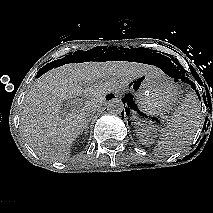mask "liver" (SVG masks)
Returning a JSON list of instances; mask_svg holds the SVG:
<instances>
[{
	"mask_svg": "<svg viewBox=\"0 0 213 213\" xmlns=\"http://www.w3.org/2000/svg\"><path fill=\"white\" fill-rule=\"evenodd\" d=\"M157 72L151 65L129 61L69 63L53 68L41 75L26 94L20 129L28 145L42 159L66 161L84 128L87 109L99 110L109 92L124 88L142 75ZM82 93L90 99L82 106L62 112L64 101Z\"/></svg>",
	"mask_w": 213,
	"mask_h": 213,
	"instance_id": "obj_1",
	"label": "liver"
}]
</instances>
